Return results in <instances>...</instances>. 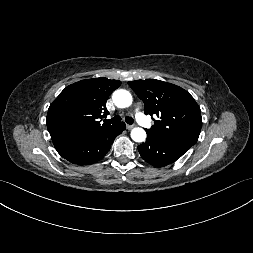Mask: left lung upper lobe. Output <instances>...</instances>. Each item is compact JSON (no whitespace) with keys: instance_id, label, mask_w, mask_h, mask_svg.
I'll use <instances>...</instances> for the list:
<instances>
[{"instance_id":"1","label":"left lung upper lobe","mask_w":253,"mask_h":253,"mask_svg":"<svg viewBox=\"0 0 253 253\" xmlns=\"http://www.w3.org/2000/svg\"><path fill=\"white\" fill-rule=\"evenodd\" d=\"M128 84L144 102L145 114L158 117L147 133L188 147L197 142L202 126L200 107L186 90L156 79Z\"/></svg>"}]
</instances>
